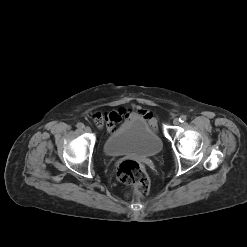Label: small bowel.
<instances>
[{
  "label": "small bowel",
  "instance_id": "1",
  "mask_svg": "<svg viewBox=\"0 0 247 247\" xmlns=\"http://www.w3.org/2000/svg\"><path fill=\"white\" fill-rule=\"evenodd\" d=\"M134 115L141 116L142 118L148 121V123L152 126V128L156 129L157 118L151 112L145 110H136V111L127 112L124 109H120L117 111L110 112L106 116V127L108 132L113 133L116 130L115 124L120 122L125 116L131 117Z\"/></svg>",
  "mask_w": 247,
  "mask_h": 247
}]
</instances>
